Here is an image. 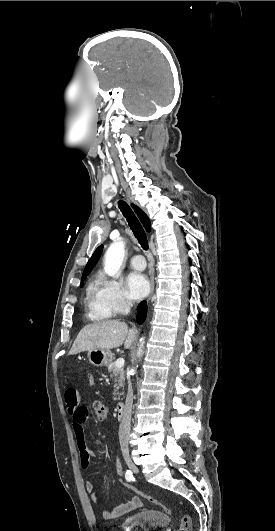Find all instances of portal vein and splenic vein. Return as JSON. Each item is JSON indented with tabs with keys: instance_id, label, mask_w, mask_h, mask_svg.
<instances>
[{
	"instance_id": "obj_1",
	"label": "portal vein and splenic vein",
	"mask_w": 275,
	"mask_h": 531,
	"mask_svg": "<svg viewBox=\"0 0 275 531\" xmlns=\"http://www.w3.org/2000/svg\"><path fill=\"white\" fill-rule=\"evenodd\" d=\"M124 363H125L124 359H117L115 365H116V367H119V369H121V367H123Z\"/></svg>"
}]
</instances>
